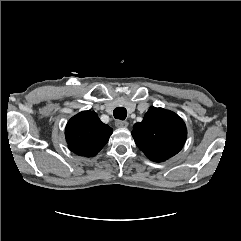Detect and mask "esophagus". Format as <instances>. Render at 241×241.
Masks as SVG:
<instances>
[{
  "label": "esophagus",
  "instance_id": "esophagus-1",
  "mask_svg": "<svg viewBox=\"0 0 241 241\" xmlns=\"http://www.w3.org/2000/svg\"><path fill=\"white\" fill-rule=\"evenodd\" d=\"M115 125L118 128H126V127H128V122L127 121H122V120H117L115 122Z\"/></svg>",
  "mask_w": 241,
  "mask_h": 241
}]
</instances>
